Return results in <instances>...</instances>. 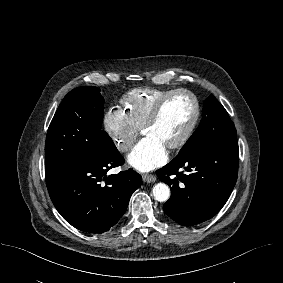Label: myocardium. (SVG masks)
I'll return each mask as SVG.
<instances>
[{
	"label": "myocardium",
	"mask_w": 283,
	"mask_h": 283,
	"mask_svg": "<svg viewBox=\"0 0 283 283\" xmlns=\"http://www.w3.org/2000/svg\"><path fill=\"white\" fill-rule=\"evenodd\" d=\"M176 95H186L188 97H190V99L193 101L194 104V116L191 120V123L189 124L188 128L186 129V131L184 132V134L174 143L170 144L167 146L168 149H179L181 147H183L184 145H186L188 143V141L191 139L192 135L194 134L199 121H200V117H201V105H200V101L198 99V97L189 89H185V88H179V89H174L170 92H168L167 94H165L164 96H162L154 105V107L152 108L149 116L147 117V119L145 120L141 130L142 132L152 126L153 124H155L157 122V120L159 119L161 112L164 108V106L166 105V103L174 96Z\"/></svg>",
	"instance_id": "f54148a6"
}]
</instances>
